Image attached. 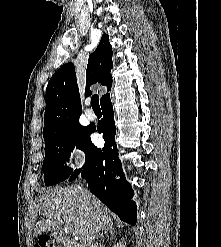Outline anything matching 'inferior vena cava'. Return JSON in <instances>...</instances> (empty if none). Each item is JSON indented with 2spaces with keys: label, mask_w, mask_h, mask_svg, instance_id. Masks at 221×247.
<instances>
[{
  "label": "inferior vena cava",
  "mask_w": 221,
  "mask_h": 247,
  "mask_svg": "<svg viewBox=\"0 0 221 247\" xmlns=\"http://www.w3.org/2000/svg\"><path fill=\"white\" fill-rule=\"evenodd\" d=\"M82 193H83V195H86V196H88V195H89V193H88V191H87V190H83V189H82Z\"/></svg>",
  "instance_id": "inferior-vena-cava-1"
}]
</instances>
